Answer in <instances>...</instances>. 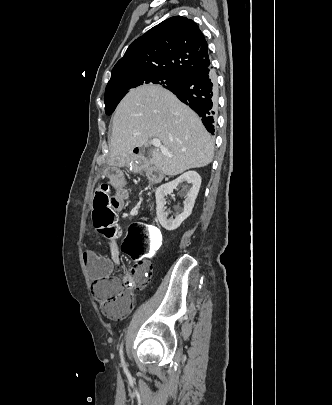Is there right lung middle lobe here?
Returning a JSON list of instances; mask_svg holds the SVG:
<instances>
[{"mask_svg": "<svg viewBox=\"0 0 332 405\" xmlns=\"http://www.w3.org/2000/svg\"><path fill=\"white\" fill-rule=\"evenodd\" d=\"M182 79L183 77L180 75L153 72H137L118 76L107 84L105 112L107 115L112 114L120 100L132 88L145 84H158L164 88H169L178 84Z\"/></svg>", "mask_w": 332, "mask_h": 405, "instance_id": "right-lung-middle-lobe-1", "label": "right lung middle lobe"}]
</instances>
